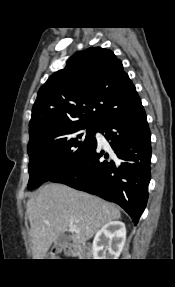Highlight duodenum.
Masks as SVG:
<instances>
[{
  "label": "duodenum",
  "mask_w": 175,
  "mask_h": 287,
  "mask_svg": "<svg viewBox=\"0 0 175 287\" xmlns=\"http://www.w3.org/2000/svg\"><path fill=\"white\" fill-rule=\"evenodd\" d=\"M79 251H80V249H79L78 247H74V248H73V252H74V253H78Z\"/></svg>",
  "instance_id": "duodenum-1"
}]
</instances>
